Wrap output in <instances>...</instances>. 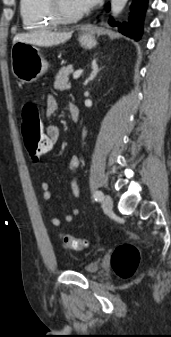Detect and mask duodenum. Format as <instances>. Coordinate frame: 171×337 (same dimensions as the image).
Instances as JSON below:
<instances>
[{
  "label": "duodenum",
  "instance_id": "obj_1",
  "mask_svg": "<svg viewBox=\"0 0 171 337\" xmlns=\"http://www.w3.org/2000/svg\"><path fill=\"white\" fill-rule=\"evenodd\" d=\"M69 111H70V115H71V119L73 122H78L79 120V108L76 104L71 103L69 105Z\"/></svg>",
  "mask_w": 171,
  "mask_h": 337
}]
</instances>
